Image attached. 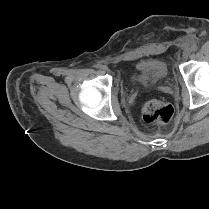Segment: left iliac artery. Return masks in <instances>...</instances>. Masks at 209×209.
<instances>
[{
  "instance_id": "1",
  "label": "left iliac artery",
  "mask_w": 209,
  "mask_h": 209,
  "mask_svg": "<svg viewBox=\"0 0 209 209\" xmlns=\"http://www.w3.org/2000/svg\"><path fill=\"white\" fill-rule=\"evenodd\" d=\"M197 49H198V46L196 44H193L191 46V51L195 52V51H197Z\"/></svg>"
}]
</instances>
